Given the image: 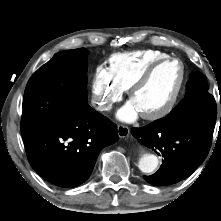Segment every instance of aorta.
Here are the masks:
<instances>
[{
    "label": "aorta",
    "mask_w": 221,
    "mask_h": 221,
    "mask_svg": "<svg viewBox=\"0 0 221 221\" xmlns=\"http://www.w3.org/2000/svg\"><path fill=\"white\" fill-rule=\"evenodd\" d=\"M158 166V158L154 154L145 153L139 159L138 167L143 173H152Z\"/></svg>",
    "instance_id": "aorta-1"
}]
</instances>
